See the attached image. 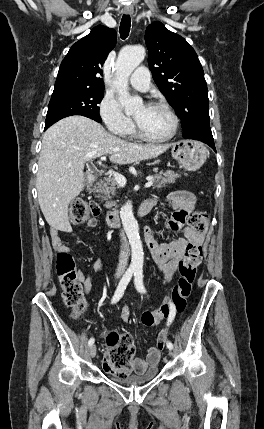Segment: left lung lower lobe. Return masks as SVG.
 <instances>
[{
    "instance_id": "obj_1",
    "label": "left lung lower lobe",
    "mask_w": 264,
    "mask_h": 429,
    "mask_svg": "<svg viewBox=\"0 0 264 429\" xmlns=\"http://www.w3.org/2000/svg\"><path fill=\"white\" fill-rule=\"evenodd\" d=\"M184 138L202 141L208 144L214 151H216L215 145H214V139H213L210 127L202 128L196 131L194 134Z\"/></svg>"
}]
</instances>
